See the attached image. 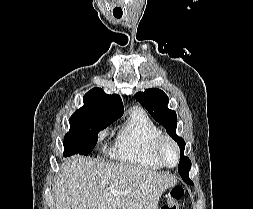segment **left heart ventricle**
Listing matches in <instances>:
<instances>
[{
	"label": "left heart ventricle",
	"instance_id": "left-heart-ventricle-1",
	"mask_svg": "<svg viewBox=\"0 0 253 209\" xmlns=\"http://www.w3.org/2000/svg\"><path fill=\"white\" fill-rule=\"evenodd\" d=\"M163 155L166 162L170 165H174L176 162V153L174 147L170 143H165L163 148Z\"/></svg>",
	"mask_w": 253,
	"mask_h": 209
}]
</instances>
